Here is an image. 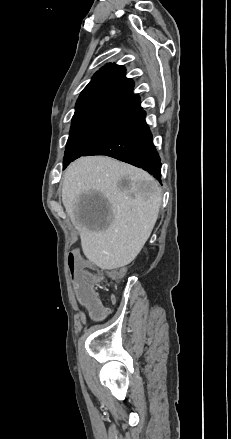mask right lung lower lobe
Returning a JSON list of instances; mask_svg holds the SVG:
<instances>
[{"label": "right lung lower lobe", "mask_w": 231, "mask_h": 439, "mask_svg": "<svg viewBox=\"0 0 231 439\" xmlns=\"http://www.w3.org/2000/svg\"><path fill=\"white\" fill-rule=\"evenodd\" d=\"M145 115V111L141 109L122 121L82 156H110L142 168L160 180V157L152 142V134L146 124Z\"/></svg>", "instance_id": "1"}]
</instances>
